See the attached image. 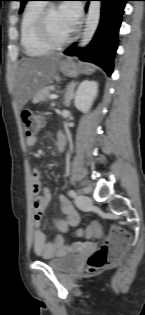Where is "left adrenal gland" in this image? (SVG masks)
Returning <instances> with one entry per match:
<instances>
[{
	"label": "left adrenal gland",
	"mask_w": 145,
	"mask_h": 315,
	"mask_svg": "<svg viewBox=\"0 0 145 315\" xmlns=\"http://www.w3.org/2000/svg\"><path fill=\"white\" fill-rule=\"evenodd\" d=\"M77 85V82L70 83L65 91L64 95V104L66 107L70 106L71 100L75 98L76 92H75V86Z\"/></svg>",
	"instance_id": "a2214340"
}]
</instances>
